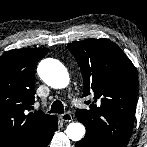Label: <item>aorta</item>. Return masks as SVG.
Listing matches in <instances>:
<instances>
[{"instance_id":"aorta-1","label":"aorta","mask_w":147,"mask_h":147,"mask_svg":"<svg viewBox=\"0 0 147 147\" xmlns=\"http://www.w3.org/2000/svg\"><path fill=\"white\" fill-rule=\"evenodd\" d=\"M38 75L50 87L62 89L68 86L70 78L67 69L59 61L44 59L38 65ZM66 135L73 141L81 140L85 135V127L79 122L67 126Z\"/></svg>"}]
</instances>
